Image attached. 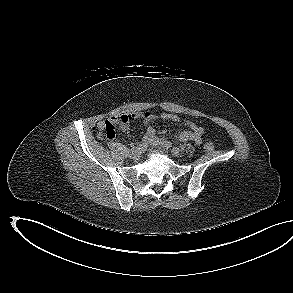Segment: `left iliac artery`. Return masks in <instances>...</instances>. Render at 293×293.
<instances>
[{
    "instance_id": "left-iliac-artery-1",
    "label": "left iliac artery",
    "mask_w": 293,
    "mask_h": 293,
    "mask_svg": "<svg viewBox=\"0 0 293 293\" xmlns=\"http://www.w3.org/2000/svg\"><path fill=\"white\" fill-rule=\"evenodd\" d=\"M180 149L183 151L185 149V146L184 145H181L180 146Z\"/></svg>"
}]
</instances>
